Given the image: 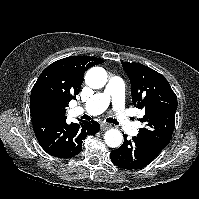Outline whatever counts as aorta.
Instances as JSON below:
<instances>
[{"label":"aorta","mask_w":199,"mask_h":199,"mask_svg":"<svg viewBox=\"0 0 199 199\" xmlns=\"http://www.w3.org/2000/svg\"><path fill=\"white\" fill-rule=\"evenodd\" d=\"M85 82L93 89H99L107 83V73L102 67H92L85 75ZM105 143L112 148L121 146L123 136L117 129H110L104 135Z\"/></svg>","instance_id":"obj_1"}]
</instances>
